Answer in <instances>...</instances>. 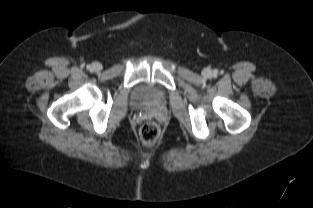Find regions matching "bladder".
Returning <instances> with one entry per match:
<instances>
[{
  "mask_svg": "<svg viewBox=\"0 0 313 208\" xmlns=\"http://www.w3.org/2000/svg\"><path fill=\"white\" fill-rule=\"evenodd\" d=\"M163 98V92L154 85L142 83L135 87L132 93V103L136 106L160 102Z\"/></svg>",
  "mask_w": 313,
  "mask_h": 208,
  "instance_id": "bladder-1",
  "label": "bladder"
}]
</instances>
